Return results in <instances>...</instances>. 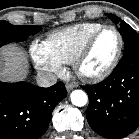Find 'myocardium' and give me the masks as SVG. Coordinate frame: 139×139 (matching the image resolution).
<instances>
[{
  "mask_svg": "<svg viewBox=\"0 0 139 139\" xmlns=\"http://www.w3.org/2000/svg\"><path fill=\"white\" fill-rule=\"evenodd\" d=\"M106 30L114 31L118 38V47H117L116 53L112 61L110 62V64L101 72L96 73V74L85 73L82 70V64L85 58L87 57V55L89 54L90 50L92 49L98 36ZM123 47H124V40L120 31L113 25H103L98 30H96L93 34H91V36L86 40L84 45L81 47V49L75 56L72 62L75 73L77 74L78 77H80L81 79L87 82L95 83V82H100V81L105 80L107 77H109L113 73V71L118 66L121 56H122Z\"/></svg>",
  "mask_w": 139,
  "mask_h": 139,
  "instance_id": "myocardium-1",
  "label": "myocardium"
}]
</instances>
